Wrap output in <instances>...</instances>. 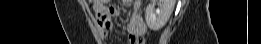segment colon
Returning a JSON list of instances; mask_svg holds the SVG:
<instances>
[{
	"label": "colon",
	"instance_id": "obj_1",
	"mask_svg": "<svg viewBox=\"0 0 261 44\" xmlns=\"http://www.w3.org/2000/svg\"><path fill=\"white\" fill-rule=\"evenodd\" d=\"M95 2H96V6H105V4H107L109 1L98 0ZM144 43H145V40L143 38H139L136 40V44H144Z\"/></svg>",
	"mask_w": 261,
	"mask_h": 44
}]
</instances>
